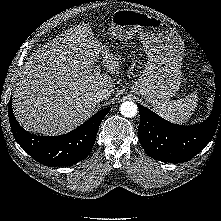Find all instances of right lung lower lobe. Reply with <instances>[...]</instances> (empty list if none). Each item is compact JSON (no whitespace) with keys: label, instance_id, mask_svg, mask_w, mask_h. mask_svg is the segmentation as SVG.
<instances>
[{"label":"right lung lower lobe","instance_id":"obj_1","mask_svg":"<svg viewBox=\"0 0 221 221\" xmlns=\"http://www.w3.org/2000/svg\"><path fill=\"white\" fill-rule=\"evenodd\" d=\"M11 99L8 115L11 130L18 144L36 161L45 166H68L86 158L96 139L99 125L110 108L100 110L73 131L60 136H39L28 133L17 122Z\"/></svg>","mask_w":221,"mask_h":221}]
</instances>
